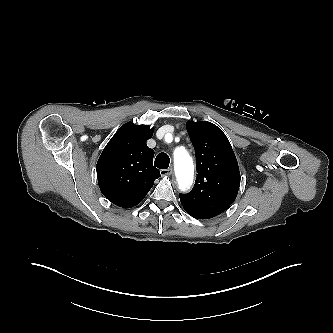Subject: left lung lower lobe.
<instances>
[{"label": "left lung lower lobe", "mask_w": 333, "mask_h": 333, "mask_svg": "<svg viewBox=\"0 0 333 333\" xmlns=\"http://www.w3.org/2000/svg\"><path fill=\"white\" fill-rule=\"evenodd\" d=\"M185 211L192 217L197 218V219H209L212 218L214 216L207 214L205 212H201V211H196L193 209H188V208H184Z\"/></svg>", "instance_id": "obj_1"}]
</instances>
